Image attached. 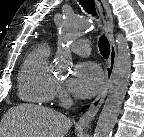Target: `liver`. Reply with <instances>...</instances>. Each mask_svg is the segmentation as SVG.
<instances>
[{
  "label": "liver",
  "mask_w": 144,
  "mask_h": 137,
  "mask_svg": "<svg viewBox=\"0 0 144 137\" xmlns=\"http://www.w3.org/2000/svg\"><path fill=\"white\" fill-rule=\"evenodd\" d=\"M71 125V119L58 111L22 104L2 117L0 137H65Z\"/></svg>",
  "instance_id": "liver-1"
}]
</instances>
